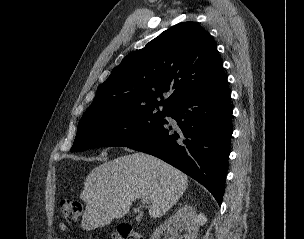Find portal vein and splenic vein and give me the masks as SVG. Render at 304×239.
<instances>
[{"label": "portal vein and splenic vein", "instance_id": "portal-vein-and-splenic-vein-1", "mask_svg": "<svg viewBox=\"0 0 304 239\" xmlns=\"http://www.w3.org/2000/svg\"><path fill=\"white\" fill-rule=\"evenodd\" d=\"M141 201H142L143 204H146V203L149 202L148 199H146V198H142Z\"/></svg>", "mask_w": 304, "mask_h": 239}]
</instances>
